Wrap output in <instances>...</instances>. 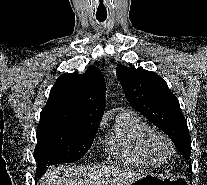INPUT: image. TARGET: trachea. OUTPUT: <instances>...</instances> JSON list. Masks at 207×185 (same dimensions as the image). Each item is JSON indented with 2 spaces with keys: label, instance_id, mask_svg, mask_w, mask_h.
<instances>
[{
  "label": "trachea",
  "instance_id": "3493384b",
  "mask_svg": "<svg viewBox=\"0 0 207 185\" xmlns=\"http://www.w3.org/2000/svg\"><path fill=\"white\" fill-rule=\"evenodd\" d=\"M97 20L99 22H104L106 20V17H97Z\"/></svg>",
  "mask_w": 207,
  "mask_h": 185
}]
</instances>
